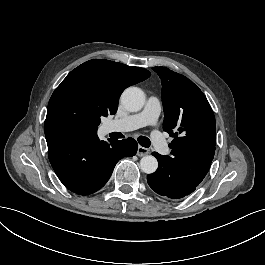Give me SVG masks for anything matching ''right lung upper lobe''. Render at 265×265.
I'll use <instances>...</instances> for the list:
<instances>
[{
    "label": "right lung upper lobe",
    "instance_id": "cb5924a9",
    "mask_svg": "<svg viewBox=\"0 0 265 265\" xmlns=\"http://www.w3.org/2000/svg\"><path fill=\"white\" fill-rule=\"evenodd\" d=\"M80 71H88L95 74L117 107L118 99L125 88L144 81L150 76V72L144 68L127 66L105 59L89 60L72 72Z\"/></svg>",
    "mask_w": 265,
    "mask_h": 265
}]
</instances>
